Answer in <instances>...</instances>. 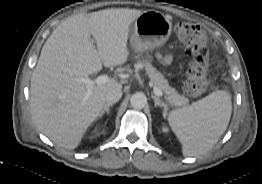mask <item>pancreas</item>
Here are the masks:
<instances>
[{
    "mask_svg": "<svg viewBox=\"0 0 262 184\" xmlns=\"http://www.w3.org/2000/svg\"><path fill=\"white\" fill-rule=\"evenodd\" d=\"M138 65L144 67L153 85L165 94V98L171 106L180 107L188 103V99L180 95L174 88L170 87L168 81L150 62L143 60L139 61Z\"/></svg>",
    "mask_w": 262,
    "mask_h": 184,
    "instance_id": "pancreas-1",
    "label": "pancreas"
}]
</instances>
